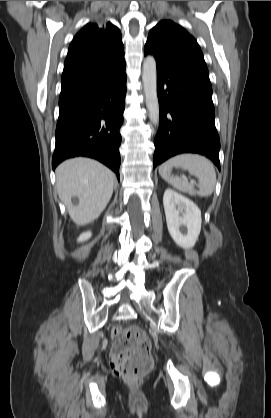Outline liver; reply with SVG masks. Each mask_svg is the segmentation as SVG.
<instances>
[{
    "label": "liver",
    "mask_w": 271,
    "mask_h": 418,
    "mask_svg": "<svg viewBox=\"0 0 271 418\" xmlns=\"http://www.w3.org/2000/svg\"><path fill=\"white\" fill-rule=\"evenodd\" d=\"M114 173L89 158H74L56 169V188L75 224L83 226L96 220L104 211L113 193ZM78 197V204L72 197Z\"/></svg>",
    "instance_id": "obj_1"
}]
</instances>
